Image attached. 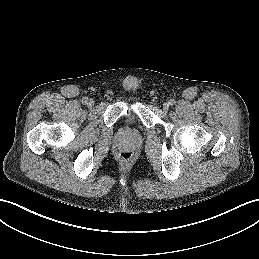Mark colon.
Listing matches in <instances>:
<instances>
[{
    "mask_svg": "<svg viewBox=\"0 0 259 259\" xmlns=\"http://www.w3.org/2000/svg\"><path fill=\"white\" fill-rule=\"evenodd\" d=\"M119 157H120L121 161L128 163L132 160L133 154L131 151L125 150L119 154Z\"/></svg>",
    "mask_w": 259,
    "mask_h": 259,
    "instance_id": "colon-1",
    "label": "colon"
}]
</instances>
